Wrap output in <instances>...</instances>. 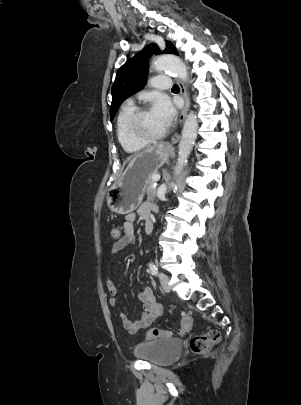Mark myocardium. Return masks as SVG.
Masks as SVG:
<instances>
[{"instance_id": "myocardium-1", "label": "myocardium", "mask_w": 301, "mask_h": 405, "mask_svg": "<svg viewBox=\"0 0 301 405\" xmlns=\"http://www.w3.org/2000/svg\"><path fill=\"white\" fill-rule=\"evenodd\" d=\"M149 111L148 108H138L136 109L130 119H129V124H128V129H129V133L130 135L137 141L148 144V143H154L157 142L159 140H161L162 138H164L170 131V127L167 126L162 132H160L157 135H147L144 134L141 130H140V122H141V118L142 116Z\"/></svg>"}]
</instances>
